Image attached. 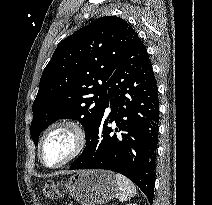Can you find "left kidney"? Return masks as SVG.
<instances>
[{
	"instance_id": "1",
	"label": "left kidney",
	"mask_w": 212,
	"mask_h": 205,
	"mask_svg": "<svg viewBox=\"0 0 212 205\" xmlns=\"http://www.w3.org/2000/svg\"><path fill=\"white\" fill-rule=\"evenodd\" d=\"M127 205H136V204H127Z\"/></svg>"
}]
</instances>
